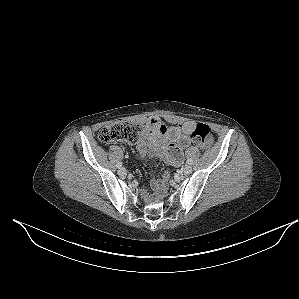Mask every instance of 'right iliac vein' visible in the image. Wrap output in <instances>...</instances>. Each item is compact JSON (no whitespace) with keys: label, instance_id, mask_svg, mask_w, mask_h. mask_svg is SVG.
Wrapping results in <instances>:
<instances>
[{"label":"right iliac vein","instance_id":"63e3f726","mask_svg":"<svg viewBox=\"0 0 299 299\" xmlns=\"http://www.w3.org/2000/svg\"><path fill=\"white\" fill-rule=\"evenodd\" d=\"M118 175L119 176H121V177H126V175H127V171H126V169L125 168H119V170H118Z\"/></svg>","mask_w":299,"mask_h":299}]
</instances>
